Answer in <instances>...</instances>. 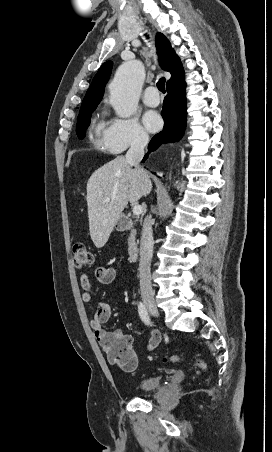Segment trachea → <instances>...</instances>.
I'll return each instance as SVG.
<instances>
[{
    "instance_id": "3493384b",
    "label": "trachea",
    "mask_w": 272,
    "mask_h": 452,
    "mask_svg": "<svg viewBox=\"0 0 272 452\" xmlns=\"http://www.w3.org/2000/svg\"><path fill=\"white\" fill-rule=\"evenodd\" d=\"M157 88L159 89V91H161L162 93H165V78H161L159 79V81L157 82Z\"/></svg>"
}]
</instances>
